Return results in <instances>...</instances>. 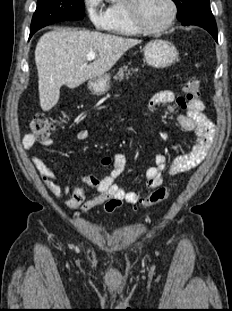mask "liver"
Instances as JSON below:
<instances>
[{
	"instance_id": "liver-1",
	"label": "liver",
	"mask_w": 232,
	"mask_h": 311,
	"mask_svg": "<svg viewBox=\"0 0 232 311\" xmlns=\"http://www.w3.org/2000/svg\"><path fill=\"white\" fill-rule=\"evenodd\" d=\"M141 40L87 30L58 28L45 33L35 49L40 106L53 108L60 87L76 88L85 81L104 75L122 55ZM97 58L88 64L87 54Z\"/></svg>"
}]
</instances>
